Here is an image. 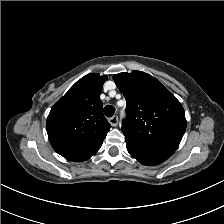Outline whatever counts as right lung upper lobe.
<instances>
[{
    "instance_id": "obj_1",
    "label": "right lung upper lobe",
    "mask_w": 224,
    "mask_h": 224,
    "mask_svg": "<svg viewBox=\"0 0 224 224\" xmlns=\"http://www.w3.org/2000/svg\"><path fill=\"white\" fill-rule=\"evenodd\" d=\"M106 76L92 73L77 81L52 107L46 122L48 137L74 140L87 150L99 148L110 129L100 94Z\"/></svg>"
}]
</instances>
